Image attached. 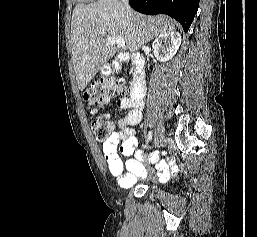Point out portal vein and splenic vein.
Masks as SVG:
<instances>
[{
    "mask_svg": "<svg viewBox=\"0 0 257 237\" xmlns=\"http://www.w3.org/2000/svg\"><path fill=\"white\" fill-rule=\"evenodd\" d=\"M106 39H107L108 41H110L111 43L116 44L117 47H119V48H125V42H124V40L121 39V38L106 36ZM92 41L94 42L95 40L92 39Z\"/></svg>",
    "mask_w": 257,
    "mask_h": 237,
    "instance_id": "18ae733b",
    "label": "portal vein and splenic vein"
}]
</instances>
